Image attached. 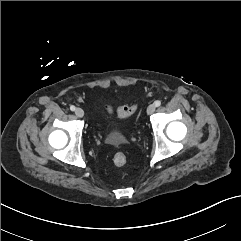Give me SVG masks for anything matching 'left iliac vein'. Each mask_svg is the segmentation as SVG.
<instances>
[{"label": "left iliac vein", "instance_id": "4c4485c4", "mask_svg": "<svg viewBox=\"0 0 241 241\" xmlns=\"http://www.w3.org/2000/svg\"><path fill=\"white\" fill-rule=\"evenodd\" d=\"M155 109H156V106L154 104H150L147 108V113L151 115L154 113Z\"/></svg>", "mask_w": 241, "mask_h": 241}]
</instances>
